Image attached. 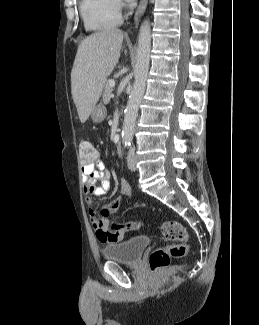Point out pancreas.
<instances>
[{
	"label": "pancreas",
	"mask_w": 259,
	"mask_h": 325,
	"mask_svg": "<svg viewBox=\"0 0 259 325\" xmlns=\"http://www.w3.org/2000/svg\"><path fill=\"white\" fill-rule=\"evenodd\" d=\"M112 81L111 79L108 80L105 84L104 92H103V103L108 104L110 102V98L112 95V87L110 86L109 82Z\"/></svg>",
	"instance_id": "pancreas-1"
}]
</instances>
